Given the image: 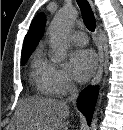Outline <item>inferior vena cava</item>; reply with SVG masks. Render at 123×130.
Returning a JSON list of instances; mask_svg holds the SVG:
<instances>
[{"instance_id": "602c4592", "label": "inferior vena cava", "mask_w": 123, "mask_h": 130, "mask_svg": "<svg viewBox=\"0 0 123 130\" xmlns=\"http://www.w3.org/2000/svg\"><path fill=\"white\" fill-rule=\"evenodd\" d=\"M78 97V89H77V86H75L74 84L70 86V89H69V96L66 100L65 103L67 102H74L76 101Z\"/></svg>"}]
</instances>
